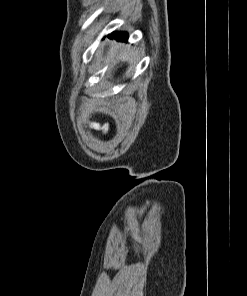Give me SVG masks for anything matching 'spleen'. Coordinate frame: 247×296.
<instances>
[{"mask_svg": "<svg viewBox=\"0 0 247 296\" xmlns=\"http://www.w3.org/2000/svg\"><path fill=\"white\" fill-rule=\"evenodd\" d=\"M120 59H122V60H128L129 59V55H127L126 53H123L122 55H120Z\"/></svg>", "mask_w": 247, "mask_h": 296, "instance_id": "3e777b00", "label": "spleen"}]
</instances>
